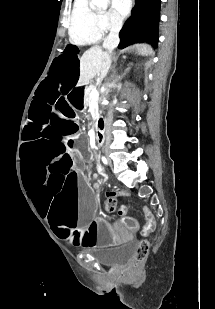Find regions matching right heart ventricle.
Wrapping results in <instances>:
<instances>
[{
    "mask_svg": "<svg viewBox=\"0 0 215 309\" xmlns=\"http://www.w3.org/2000/svg\"><path fill=\"white\" fill-rule=\"evenodd\" d=\"M69 28V40L76 46H83L88 42H100L103 38V27H98L94 14H87V9H76V14H72Z\"/></svg>",
    "mask_w": 215,
    "mask_h": 309,
    "instance_id": "right-heart-ventricle-1",
    "label": "right heart ventricle"
}]
</instances>
